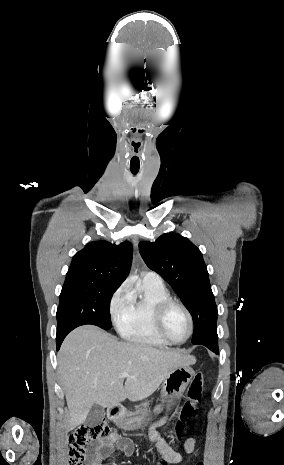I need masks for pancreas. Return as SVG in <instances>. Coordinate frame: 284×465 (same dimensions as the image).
I'll list each match as a JSON object with an SVG mask.
<instances>
[{
  "label": "pancreas",
  "mask_w": 284,
  "mask_h": 465,
  "mask_svg": "<svg viewBox=\"0 0 284 465\" xmlns=\"http://www.w3.org/2000/svg\"><path fill=\"white\" fill-rule=\"evenodd\" d=\"M149 403H141V405H138V407H136V409H139V407H143V409H147ZM136 413H138V411H136ZM130 415H133V413H130Z\"/></svg>",
  "instance_id": "pancreas-1"
}]
</instances>
